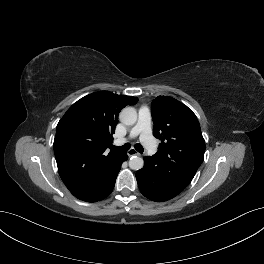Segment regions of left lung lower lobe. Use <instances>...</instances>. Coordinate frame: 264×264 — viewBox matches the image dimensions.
<instances>
[{
	"mask_svg": "<svg viewBox=\"0 0 264 264\" xmlns=\"http://www.w3.org/2000/svg\"><path fill=\"white\" fill-rule=\"evenodd\" d=\"M193 177L186 175L183 170L164 168L155 155L145 157L144 167L136 173L141 193L155 202L175 197L187 187Z\"/></svg>",
	"mask_w": 264,
	"mask_h": 264,
	"instance_id": "obj_1",
	"label": "left lung lower lobe"
}]
</instances>
